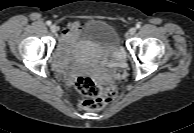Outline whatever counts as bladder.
Here are the masks:
<instances>
[{
  "mask_svg": "<svg viewBox=\"0 0 194 133\" xmlns=\"http://www.w3.org/2000/svg\"><path fill=\"white\" fill-rule=\"evenodd\" d=\"M74 46H88L106 61H116L121 55V46L115 29L106 21L87 22L73 41Z\"/></svg>",
  "mask_w": 194,
  "mask_h": 133,
  "instance_id": "1",
  "label": "bladder"
}]
</instances>
